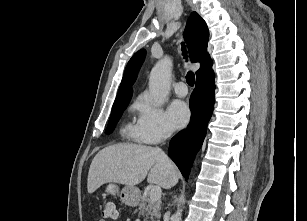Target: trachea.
<instances>
[{
	"label": "trachea",
	"instance_id": "trachea-1",
	"mask_svg": "<svg viewBox=\"0 0 307 221\" xmlns=\"http://www.w3.org/2000/svg\"><path fill=\"white\" fill-rule=\"evenodd\" d=\"M182 54L184 55L185 58H187V51L185 46H182ZM186 82L188 83L189 86H193L195 83V76L192 72H188L186 75Z\"/></svg>",
	"mask_w": 307,
	"mask_h": 221
}]
</instances>
